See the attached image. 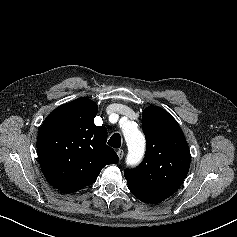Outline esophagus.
I'll return each mask as SVG.
<instances>
[{"label": "esophagus", "mask_w": 237, "mask_h": 237, "mask_svg": "<svg viewBox=\"0 0 237 237\" xmlns=\"http://www.w3.org/2000/svg\"><path fill=\"white\" fill-rule=\"evenodd\" d=\"M117 155L119 157V160H121L124 156V150L123 149H118L117 150Z\"/></svg>", "instance_id": "obj_1"}]
</instances>
